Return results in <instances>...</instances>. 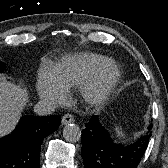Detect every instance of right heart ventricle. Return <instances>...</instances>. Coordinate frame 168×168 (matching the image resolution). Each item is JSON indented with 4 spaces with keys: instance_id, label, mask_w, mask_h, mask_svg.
Segmentation results:
<instances>
[{
    "instance_id": "obj_1",
    "label": "right heart ventricle",
    "mask_w": 168,
    "mask_h": 168,
    "mask_svg": "<svg viewBox=\"0 0 168 168\" xmlns=\"http://www.w3.org/2000/svg\"><path fill=\"white\" fill-rule=\"evenodd\" d=\"M107 60L105 56L95 53H77L64 58L50 73L64 90L80 88Z\"/></svg>"
}]
</instances>
